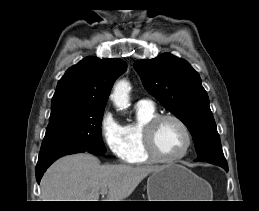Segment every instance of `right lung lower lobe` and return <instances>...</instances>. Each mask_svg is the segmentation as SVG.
<instances>
[{
	"label": "right lung lower lobe",
	"mask_w": 259,
	"mask_h": 211,
	"mask_svg": "<svg viewBox=\"0 0 259 211\" xmlns=\"http://www.w3.org/2000/svg\"><path fill=\"white\" fill-rule=\"evenodd\" d=\"M82 152H89L92 154H97V155H103V152H95V151H87V150H82V149H65V150H60L53 152L50 155H47L45 157L39 158L38 163L36 166V179L37 182L40 183L41 177L43 176L44 172L46 169L58 158L68 155V154H74V153H82Z\"/></svg>",
	"instance_id": "98d812e1"
}]
</instances>
